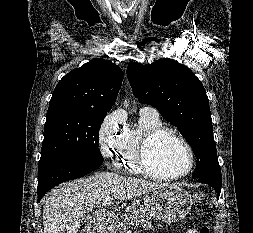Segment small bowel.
Returning a JSON list of instances; mask_svg holds the SVG:
<instances>
[{"mask_svg": "<svg viewBox=\"0 0 253 233\" xmlns=\"http://www.w3.org/2000/svg\"><path fill=\"white\" fill-rule=\"evenodd\" d=\"M186 233H198L195 229H189L186 231Z\"/></svg>", "mask_w": 253, "mask_h": 233, "instance_id": "1", "label": "small bowel"}]
</instances>
